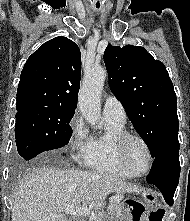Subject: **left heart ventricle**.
Listing matches in <instances>:
<instances>
[{
    "label": "left heart ventricle",
    "instance_id": "left-heart-ventricle-1",
    "mask_svg": "<svg viewBox=\"0 0 190 221\" xmlns=\"http://www.w3.org/2000/svg\"><path fill=\"white\" fill-rule=\"evenodd\" d=\"M128 164L137 172H142L148 165V154L144 146L137 140H130L126 146Z\"/></svg>",
    "mask_w": 190,
    "mask_h": 221
}]
</instances>
